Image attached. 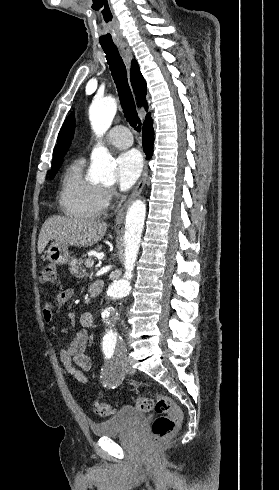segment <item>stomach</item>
<instances>
[{
    "label": "stomach",
    "mask_w": 279,
    "mask_h": 490,
    "mask_svg": "<svg viewBox=\"0 0 279 490\" xmlns=\"http://www.w3.org/2000/svg\"><path fill=\"white\" fill-rule=\"evenodd\" d=\"M47 260L51 264H58V266H63V264H68L71 260L72 252H69L68 246H63V244H57L53 242L46 250Z\"/></svg>",
    "instance_id": "0dacf381"
}]
</instances>
